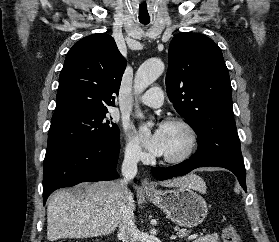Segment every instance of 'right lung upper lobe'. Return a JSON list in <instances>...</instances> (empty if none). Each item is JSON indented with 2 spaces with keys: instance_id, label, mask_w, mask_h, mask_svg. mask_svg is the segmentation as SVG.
<instances>
[{
  "instance_id": "obj_1",
  "label": "right lung upper lobe",
  "mask_w": 279,
  "mask_h": 242,
  "mask_svg": "<svg viewBox=\"0 0 279 242\" xmlns=\"http://www.w3.org/2000/svg\"><path fill=\"white\" fill-rule=\"evenodd\" d=\"M125 67L126 60L110 35L97 33L82 38L66 55L54 114L114 106Z\"/></svg>"
}]
</instances>
